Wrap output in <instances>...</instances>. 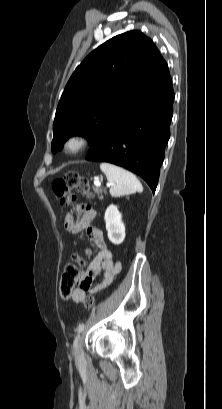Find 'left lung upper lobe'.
<instances>
[{
  "label": "left lung upper lobe",
  "mask_w": 222,
  "mask_h": 409,
  "mask_svg": "<svg viewBox=\"0 0 222 409\" xmlns=\"http://www.w3.org/2000/svg\"><path fill=\"white\" fill-rule=\"evenodd\" d=\"M169 76L167 63L150 38L139 31L113 37L76 68L59 101L51 150L73 135L93 144L128 103Z\"/></svg>",
  "instance_id": "obj_1"
}]
</instances>
